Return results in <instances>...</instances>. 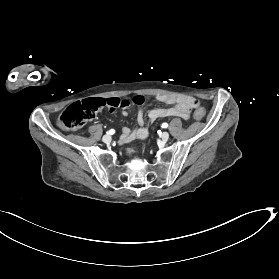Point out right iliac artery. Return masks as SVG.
Wrapping results in <instances>:
<instances>
[{"instance_id":"obj_1","label":"right iliac artery","mask_w":279,"mask_h":279,"mask_svg":"<svg viewBox=\"0 0 279 279\" xmlns=\"http://www.w3.org/2000/svg\"><path fill=\"white\" fill-rule=\"evenodd\" d=\"M108 134H114L115 133V130L111 129L107 132Z\"/></svg>"}]
</instances>
